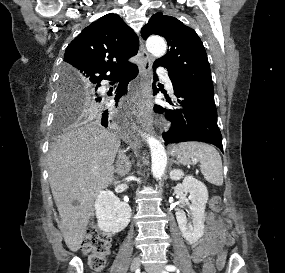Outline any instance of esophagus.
Segmentation results:
<instances>
[{
	"mask_svg": "<svg viewBox=\"0 0 285 273\" xmlns=\"http://www.w3.org/2000/svg\"><path fill=\"white\" fill-rule=\"evenodd\" d=\"M139 54L142 57V64L140 66V80H141V90L145 96V100L141 106L140 113L138 118L140 123L146 130L152 129V111L153 103L151 96V87H150V76L152 68V59L147 53L142 40H140Z\"/></svg>",
	"mask_w": 285,
	"mask_h": 273,
	"instance_id": "34e87169",
	"label": "esophagus"
}]
</instances>
